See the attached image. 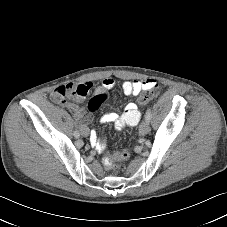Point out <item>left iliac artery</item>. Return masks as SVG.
<instances>
[{
  "instance_id": "left-iliac-artery-1",
  "label": "left iliac artery",
  "mask_w": 227,
  "mask_h": 227,
  "mask_svg": "<svg viewBox=\"0 0 227 227\" xmlns=\"http://www.w3.org/2000/svg\"><path fill=\"white\" fill-rule=\"evenodd\" d=\"M145 119L147 121H150V119H151V109L150 108H148L147 111H146Z\"/></svg>"
}]
</instances>
